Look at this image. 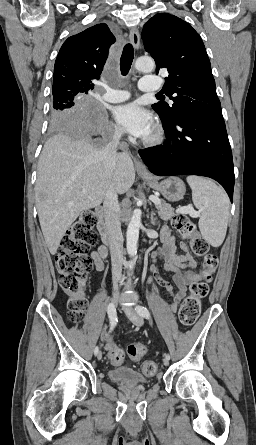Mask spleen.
Masks as SVG:
<instances>
[{
  "instance_id": "3e777b00",
  "label": "spleen",
  "mask_w": 256,
  "mask_h": 445,
  "mask_svg": "<svg viewBox=\"0 0 256 445\" xmlns=\"http://www.w3.org/2000/svg\"><path fill=\"white\" fill-rule=\"evenodd\" d=\"M192 190V200L201 213L199 229L213 247H219L226 236L229 218V199L213 181L199 176L186 178Z\"/></svg>"
}]
</instances>
